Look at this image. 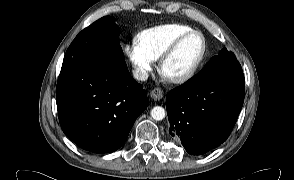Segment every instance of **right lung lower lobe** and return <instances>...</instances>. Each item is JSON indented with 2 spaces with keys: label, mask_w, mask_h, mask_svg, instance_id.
I'll return each mask as SVG.
<instances>
[{
  "label": "right lung lower lobe",
  "mask_w": 294,
  "mask_h": 180,
  "mask_svg": "<svg viewBox=\"0 0 294 180\" xmlns=\"http://www.w3.org/2000/svg\"><path fill=\"white\" fill-rule=\"evenodd\" d=\"M123 57H88L61 68L56 103L65 135L84 150L120 148L149 104Z\"/></svg>",
  "instance_id": "1"
}]
</instances>
